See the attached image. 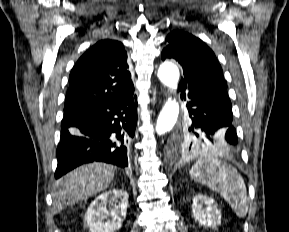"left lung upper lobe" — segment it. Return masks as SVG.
Returning a JSON list of instances; mask_svg holds the SVG:
<instances>
[{
	"label": "left lung upper lobe",
	"mask_w": 289,
	"mask_h": 232,
	"mask_svg": "<svg viewBox=\"0 0 289 232\" xmlns=\"http://www.w3.org/2000/svg\"><path fill=\"white\" fill-rule=\"evenodd\" d=\"M168 45L161 53L162 60L173 58L183 67L184 78L181 81L202 84L227 94V84L223 78L222 68L213 51L199 38L179 30L167 35ZM189 134L179 133V145L184 150L202 152L200 145L188 129Z\"/></svg>",
	"instance_id": "obj_1"
}]
</instances>
